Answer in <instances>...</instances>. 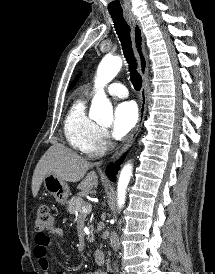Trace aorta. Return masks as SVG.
<instances>
[{
  "label": "aorta",
  "mask_w": 215,
  "mask_h": 274,
  "mask_svg": "<svg viewBox=\"0 0 215 274\" xmlns=\"http://www.w3.org/2000/svg\"><path fill=\"white\" fill-rule=\"evenodd\" d=\"M122 59L118 56H105L99 64L95 87L98 89L91 104L89 117L103 124H111L113 121V109L110 101L103 91V87L109 83L120 71ZM132 175V165L127 164L121 170L118 181V205L125 202V194Z\"/></svg>",
  "instance_id": "1"
}]
</instances>
